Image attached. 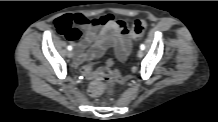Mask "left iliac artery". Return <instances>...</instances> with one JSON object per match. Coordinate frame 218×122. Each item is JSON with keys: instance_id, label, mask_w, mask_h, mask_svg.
I'll return each instance as SVG.
<instances>
[{"instance_id": "1", "label": "left iliac artery", "mask_w": 218, "mask_h": 122, "mask_svg": "<svg viewBox=\"0 0 218 122\" xmlns=\"http://www.w3.org/2000/svg\"><path fill=\"white\" fill-rule=\"evenodd\" d=\"M140 48H141V50H144V49H145L144 44H141V45H140Z\"/></svg>"}]
</instances>
